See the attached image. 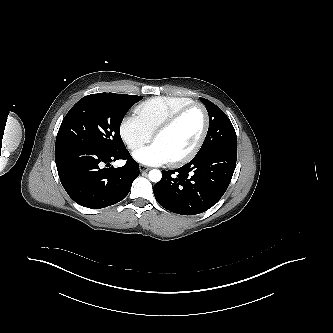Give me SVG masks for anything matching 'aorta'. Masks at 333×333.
Returning a JSON list of instances; mask_svg holds the SVG:
<instances>
[{
	"label": "aorta",
	"mask_w": 333,
	"mask_h": 333,
	"mask_svg": "<svg viewBox=\"0 0 333 333\" xmlns=\"http://www.w3.org/2000/svg\"><path fill=\"white\" fill-rule=\"evenodd\" d=\"M148 176H149V180H150L151 182H155V183H156V182H159V181L161 180V178H162V173H161L160 170L153 169V170H151V171L149 172Z\"/></svg>",
	"instance_id": "762f6f07"
}]
</instances>
